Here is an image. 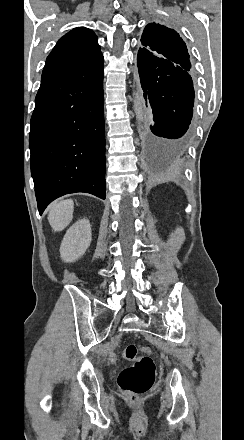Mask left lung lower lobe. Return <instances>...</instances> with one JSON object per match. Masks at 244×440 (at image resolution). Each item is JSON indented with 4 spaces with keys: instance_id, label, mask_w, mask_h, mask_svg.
Here are the masks:
<instances>
[{
    "instance_id": "0a47b994",
    "label": "left lung lower lobe",
    "mask_w": 244,
    "mask_h": 440,
    "mask_svg": "<svg viewBox=\"0 0 244 440\" xmlns=\"http://www.w3.org/2000/svg\"><path fill=\"white\" fill-rule=\"evenodd\" d=\"M147 113L142 120V142L150 155L178 152L188 143L194 106L188 71L172 66L137 62Z\"/></svg>"
}]
</instances>
